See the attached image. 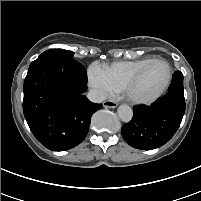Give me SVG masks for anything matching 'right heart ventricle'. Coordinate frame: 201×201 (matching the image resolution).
<instances>
[{
  "mask_svg": "<svg viewBox=\"0 0 201 201\" xmlns=\"http://www.w3.org/2000/svg\"><path fill=\"white\" fill-rule=\"evenodd\" d=\"M152 59L147 57L138 60L114 62L105 66L104 69L117 91H121L128 79Z\"/></svg>",
  "mask_w": 201,
  "mask_h": 201,
  "instance_id": "obj_1",
  "label": "right heart ventricle"
}]
</instances>
